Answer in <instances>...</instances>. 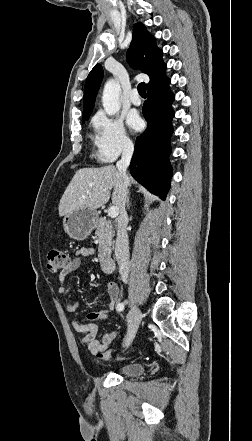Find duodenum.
<instances>
[{
    "label": "duodenum",
    "instance_id": "duodenum-1",
    "mask_svg": "<svg viewBox=\"0 0 252 441\" xmlns=\"http://www.w3.org/2000/svg\"><path fill=\"white\" fill-rule=\"evenodd\" d=\"M100 267L105 274H111L114 271V262L108 255L103 254L100 259Z\"/></svg>",
    "mask_w": 252,
    "mask_h": 441
}]
</instances>
